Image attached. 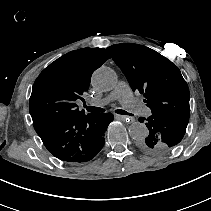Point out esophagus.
<instances>
[{
  "label": "esophagus",
  "mask_w": 211,
  "mask_h": 211,
  "mask_svg": "<svg viewBox=\"0 0 211 211\" xmlns=\"http://www.w3.org/2000/svg\"><path fill=\"white\" fill-rule=\"evenodd\" d=\"M116 118L121 119V120H124V122L126 124H129L130 122H133L134 121V118L133 117H128L126 115H118V114H116Z\"/></svg>",
  "instance_id": "34e87169"
}]
</instances>
